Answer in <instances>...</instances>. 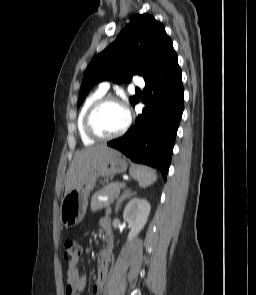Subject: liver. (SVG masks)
I'll list each match as a JSON object with an SVG mask.
<instances>
[{
	"label": "liver",
	"instance_id": "obj_1",
	"mask_svg": "<svg viewBox=\"0 0 256 295\" xmlns=\"http://www.w3.org/2000/svg\"><path fill=\"white\" fill-rule=\"evenodd\" d=\"M114 154L118 152L104 145L77 152L67 171L65 195Z\"/></svg>",
	"mask_w": 256,
	"mask_h": 295
}]
</instances>
